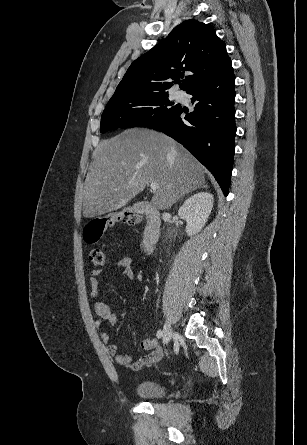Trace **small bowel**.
Listing matches in <instances>:
<instances>
[{
  "mask_svg": "<svg viewBox=\"0 0 307 445\" xmlns=\"http://www.w3.org/2000/svg\"><path fill=\"white\" fill-rule=\"evenodd\" d=\"M116 266L120 269V273L133 280L135 277L134 270L132 267V260L129 256H123L116 262ZM101 275V270L95 269L90 272L89 280L91 287V295L94 299L93 309L97 316L95 324L97 327H101L103 322H109L115 324L118 320L116 312L105 302L98 299V288H99V276ZM101 339L107 344L108 353L115 358V361L124 367H129L133 370H139L145 366L152 365L156 363L162 357V350L159 347L158 341L156 339H146L142 343V348L148 350L149 353L141 357L136 362H133L132 355L119 353L118 345L115 343H110V338L107 332H101Z\"/></svg>",
  "mask_w": 307,
  "mask_h": 445,
  "instance_id": "small-bowel-1",
  "label": "small bowel"
}]
</instances>
